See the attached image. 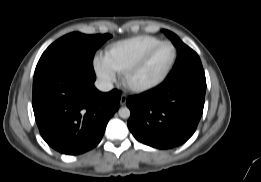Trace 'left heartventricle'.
<instances>
[{"mask_svg":"<svg viewBox=\"0 0 261 182\" xmlns=\"http://www.w3.org/2000/svg\"><path fill=\"white\" fill-rule=\"evenodd\" d=\"M173 57V50L165 45L158 48L146 64L133 76L132 81L141 85L159 78L167 69Z\"/></svg>","mask_w":261,"mask_h":182,"instance_id":"b2bd125f","label":"left heart ventricle"}]
</instances>
